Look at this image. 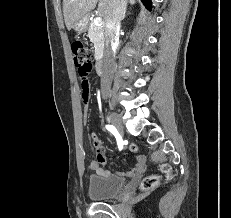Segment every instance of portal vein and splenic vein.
<instances>
[{
    "instance_id": "obj_1",
    "label": "portal vein and splenic vein",
    "mask_w": 231,
    "mask_h": 218,
    "mask_svg": "<svg viewBox=\"0 0 231 218\" xmlns=\"http://www.w3.org/2000/svg\"><path fill=\"white\" fill-rule=\"evenodd\" d=\"M94 24H95L96 26L102 25V18H101V17H96V18L94 19Z\"/></svg>"
}]
</instances>
